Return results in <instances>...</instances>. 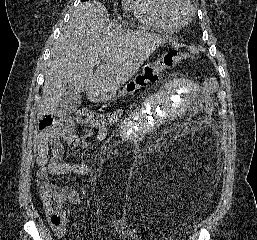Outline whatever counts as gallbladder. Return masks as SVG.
<instances>
[{"label": "gallbladder", "instance_id": "bac80fb5", "mask_svg": "<svg viewBox=\"0 0 257 240\" xmlns=\"http://www.w3.org/2000/svg\"><path fill=\"white\" fill-rule=\"evenodd\" d=\"M81 104V96L71 84H67L57 107L61 114L74 113Z\"/></svg>", "mask_w": 257, "mask_h": 240}]
</instances>
